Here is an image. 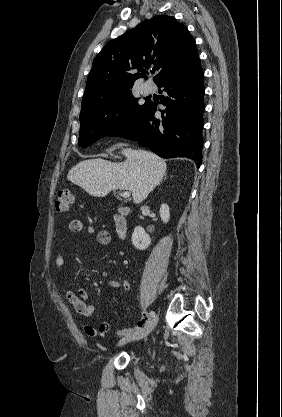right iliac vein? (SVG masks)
I'll use <instances>...</instances> for the list:
<instances>
[{
    "label": "right iliac vein",
    "mask_w": 282,
    "mask_h": 417,
    "mask_svg": "<svg viewBox=\"0 0 282 417\" xmlns=\"http://www.w3.org/2000/svg\"><path fill=\"white\" fill-rule=\"evenodd\" d=\"M157 322H158V316H155L153 319L150 320L148 325L143 330L137 331L132 334L129 333V334L124 335L122 339L118 342V346H122L128 342L137 341L146 337L152 332Z\"/></svg>",
    "instance_id": "1"
}]
</instances>
